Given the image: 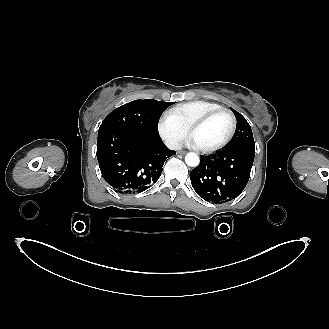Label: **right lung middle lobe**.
Listing matches in <instances>:
<instances>
[{
  "label": "right lung middle lobe",
  "mask_w": 329,
  "mask_h": 329,
  "mask_svg": "<svg viewBox=\"0 0 329 329\" xmlns=\"http://www.w3.org/2000/svg\"><path fill=\"white\" fill-rule=\"evenodd\" d=\"M175 102L152 99L134 100L113 110L102 122L104 128L141 130L159 135L158 122L162 112Z\"/></svg>",
  "instance_id": "right-lung-middle-lobe-1"
}]
</instances>
